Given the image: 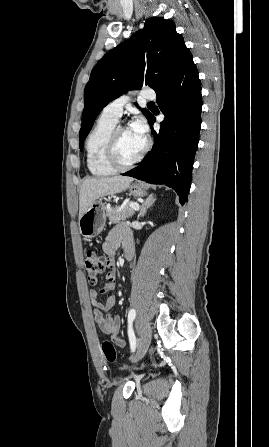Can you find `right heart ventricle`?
Masks as SVG:
<instances>
[{"label": "right heart ventricle", "instance_id": "right-heart-ventricle-1", "mask_svg": "<svg viewBox=\"0 0 269 447\" xmlns=\"http://www.w3.org/2000/svg\"><path fill=\"white\" fill-rule=\"evenodd\" d=\"M116 122L117 120L102 113L88 135L86 140L87 166L93 175L104 176L116 171L106 159L108 136Z\"/></svg>", "mask_w": 269, "mask_h": 447}]
</instances>
